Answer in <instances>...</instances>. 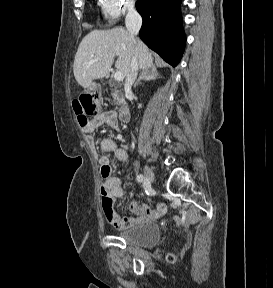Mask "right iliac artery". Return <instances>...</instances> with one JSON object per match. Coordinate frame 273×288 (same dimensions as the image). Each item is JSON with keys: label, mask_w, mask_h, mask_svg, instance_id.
Masks as SVG:
<instances>
[{"label": "right iliac artery", "mask_w": 273, "mask_h": 288, "mask_svg": "<svg viewBox=\"0 0 273 288\" xmlns=\"http://www.w3.org/2000/svg\"><path fill=\"white\" fill-rule=\"evenodd\" d=\"M136 179H137L138 182L141 183V182L144 181L145 178H144V176L142 174H139Z\"/></svg>", "instance_id": "1"}]
</instances>
